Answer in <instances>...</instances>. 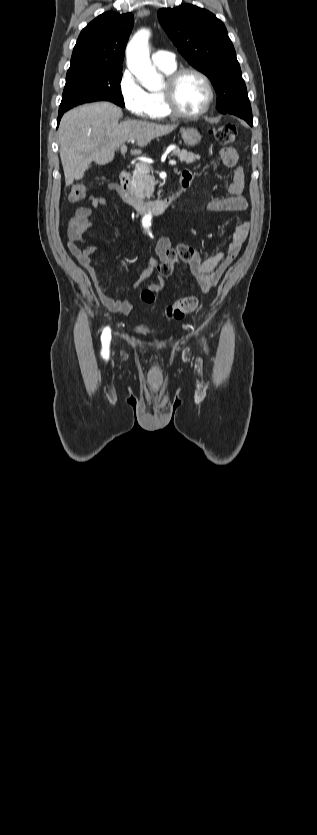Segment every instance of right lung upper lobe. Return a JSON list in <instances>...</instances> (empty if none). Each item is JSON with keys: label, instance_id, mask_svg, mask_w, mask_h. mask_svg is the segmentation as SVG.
<instances>
[{"label": "right lung upper lobe", "instance_id": "1", "mask_svg": "<svg viewBox=\"0 0 317 835\" xmlns=\"http://www.w3.org/2000/svg\"><path fill=\"white\" fill-rule=\"evenodd\" d=\"M131 13L105 12L80 33L73 49L70 68L106 66L122 68L124 50L133 27Z\"/></svg>", "mask_w": 317, "mask_h": 835}]
</instances>
